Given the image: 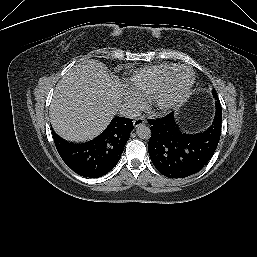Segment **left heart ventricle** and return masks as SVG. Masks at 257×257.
<instances>
[{
    "instance_id": "b2bd125f",
    "label": "left heart ventricle",
    "mask_w": 257,
    "mask_h": 257,
    "mask_svg": "<svg viewBox=\"0 0 257 257\" xmlns=\"http://www.w3.org/2000/svg\"><path fill=\"white\" fill-rule=\"evenodd\" d=\"M190 80V74L185 71L181 70L178 71L173 77L170 79L167 87V93L169 95H174L181 92Z\"/></svg>"
}]
</instances>
